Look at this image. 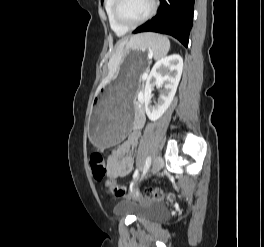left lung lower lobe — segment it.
<instances>
[{
  "mask_svg": "<svg viewBox=\"0 0 264 247\" xmlns=\"http://www.w3.org/2000/svg\"><path fill=\"white\" fill-rule=\"evenodd\" d=\"M193 11L194 0H159L157 14L133 33L157 32L171 35L187 47L193 25Z\"/></svg>",
  "mask_w": 264,
  "mask_h": 247,
  "instance_id": "0a47b994",
  "label": "left lung lower lobe"
}]
</instances>
